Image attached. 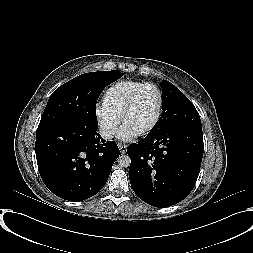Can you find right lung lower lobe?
<instances>
[{
    "label": "right lung lower lobe",
    "instance_id": "98d812e1",
    "mask_svg": "<svg viewBox=\"0 0 253 253\" xmlns=\"http://www.w3.org/2000/svg\"><path fill=\"white\" fill-rule=\"evenodd\" d=\"M98 125L73 120L37 130L35 152L40 175L55 195L82 201L105 185L120 152L97 133Z\"/></svg>",
    "mask_w": 253,
    "mask_h": 253
}]
</instances>
